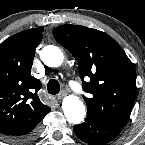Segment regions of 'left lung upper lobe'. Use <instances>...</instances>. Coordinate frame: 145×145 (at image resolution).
Wrapping results in <instances>:
<instances>
[{
	"instance_id": "1",
	"label": "left lung upper lobe",
	"mask_w": 145,
	"mask_h": 145,
	"mask_svg": "<svg viewBox=\"0 0 145 145\" xmlns=\"http://www.w3.org/2000/svg\"><path fill=\"white\" fill-rule=\"evenodd\" d=\"M53 36L73 54L83 89L92 94L84 97L87 116L122 128L136 97V71L123 49L104 32L84 26L61 25Z\"/></svg>"
}]
</instances>
